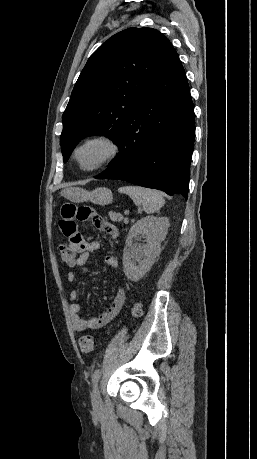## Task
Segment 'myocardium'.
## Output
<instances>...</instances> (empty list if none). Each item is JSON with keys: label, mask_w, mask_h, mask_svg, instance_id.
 Returning <instances> with one entry per match:
<instances>
[{"label": "myocardium", "mask_w": 257, "mask_h": 459, "mask_svg": "<svg viewBox=\"0 0 257 459\" xmlns=\"http://www.w3.org/2000/svg\"><path fill=\"white\" fill-rule=\"evenodd\" d=\"M91 144L103 145L107 149V152L105 156L102 157L99 161H97L94 165L90 167H84L80 164L78 160V153L82 148L88 145H91ZM120 152H121L120 144L114 137L108 134H95V135L86 137L74 147L72 151V159L80 171L90 173V172H95L97 170H100L108 166L119 156Z\"/></svg>", "instance_id": "1"}]
</instances>
